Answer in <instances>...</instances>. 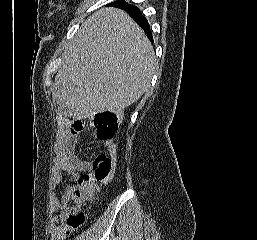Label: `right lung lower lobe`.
I'll return each instance as SVG.
<instances>
[{"label": "right lung lower lobe", "instance_id": "right-lung-lower-lobe-1", "mask_svg": "<svg viewBox=\"0 0 257 240\" xmlns=\"http://www.w3.org/2000/svg\"><path fill=\"white\" fill-rule=\"evenodd\" d=\"M115 6L129 13L133 17L135 22L147 33L151 42H153L150 26L147 22V19L142 15V13L140 12L137 6L127 4L125 2H124V5H115Z\"/></svg>", "mask_w": 257, "mask_h": 240}]
</instances>
